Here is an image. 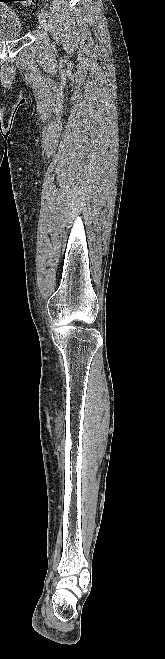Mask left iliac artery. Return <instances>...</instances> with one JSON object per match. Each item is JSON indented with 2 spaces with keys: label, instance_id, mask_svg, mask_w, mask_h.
Instances as JSON below:
<instances>
[{
  "label": "left iliac artery",
  "instance_id": "obj_1",
  "mask_svg": "<svg viewBox=\"0 0 165 659\" xmlns=\"http://www.w3.org/2000/svg\"><path fill=\"white\" fill-rule=\"evenodd\" d=\"M41 13L44 14L46 17L48 16V10L46 8L41 9Z\"/></svg>",
  "mask_w": 165,
  "mask_h": 659
}]
</instances>
